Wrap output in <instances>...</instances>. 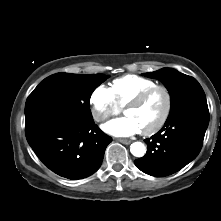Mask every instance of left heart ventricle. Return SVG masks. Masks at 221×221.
Masks as SVG:
<instances>
[{
    "instance_id": "1",
    "label": "left heart ventricle",
    "mask_w": 221,
    "mask_h": 221,
    "mask_svg": "<svg viewBox=\"0 0 221 221\" xmlns=\"http://www.w3.org/2000/svg\"><path fill=\"white\" fill-rule=\"evenodd\" d=\"M166 107V97L163 91L154 92L140 106L130 108L126 116L133 118L141 130H146L158 123Z\"/></svg>"
}]
</instances>
